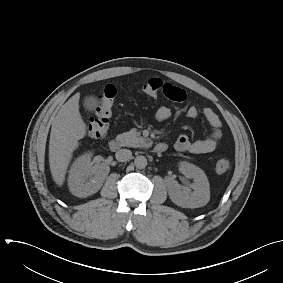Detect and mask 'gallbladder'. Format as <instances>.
Wrapping results in <instances>:
<instances>
[{"label":"gallbladder","instance_id":"gallbladder-1","mask_svg":"<svg viewBox=\"0 0 283 283\" xmlns=\"http://www.w3.org/2000/svg\"><path fill=\"white\" fill-rule=\"evenodd\" d=\"M84 108L88 111H93L98 106V100L94 96H87L83 102Z\"/></svg>","mask_w":283,"mask_h":283}]
</instances>
